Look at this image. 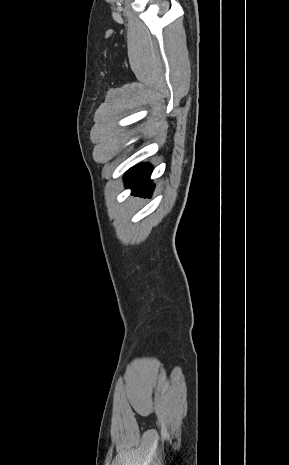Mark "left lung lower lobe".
<instances>
[{
	"label": "left lung lower lobe",
	"instance_id": "0a47b994",
	"mask_svg": "<svg viewBox=\"0 0 289 465\" xmlns=\"http://www.w3.org/2000/svg\"><path fill=\"white\" fill-rule=\"evenodd\" d=\"M151 172L152 167L146 163L129 169L124 176L126 187L131 188L134 195L149 197L153 190L149 179Z\"/></svg>",
	"mask_w": 289,
	"mask_h": 465
}]
</instances>
